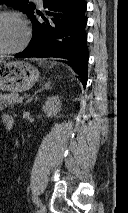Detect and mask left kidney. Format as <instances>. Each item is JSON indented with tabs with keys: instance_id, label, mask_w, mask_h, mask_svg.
<instances>
[{
	"instance_id": "5707ae66",
	"label": "left kidney",
	"mask_w": 128,
	"mask_h": 213,
	"mask_svg": "<svg viewBox=\"0 0 128 213\" xmlns=\"http://www.w3.org/2000/svg\"><path fill=\"white\" fill-rule=\"evenodd\" d=\"M43 112L47 116H55L61 110V102L58 96L48 98L43 106Z\"/></svg>"
}]
</instances>
